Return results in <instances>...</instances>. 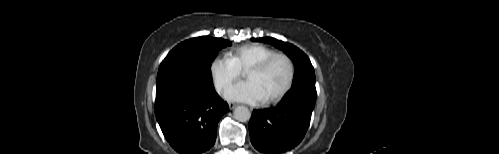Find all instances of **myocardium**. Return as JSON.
Listing matches in <instances>:
<instances>
[{
	"label": "myocardium",
	"instance_id": "myocardium-1",
	"mask_svg": "<svg viewBox=\"0 0 499 154\" xmlns=\"http://www.w3.org/2000/svg\"><path fill=\"white\" fill-rule=\"evenodd\" d=\"M276 59H283L288 67V76L286 83L284 87L278 92L276 95L268 98L265 100L266 103H275L280 101L285 97V95L289 92V90L292 87L293 81H294V76H295V68H294V63L291 59V57L285 53L282 52H275L268 57L264 58L263 60L259 61L258 63L252 65L247 72L249 71H264L269 67V65Z\"/></svg>",
	"mask_w": 499,
	"mask_h": 154
}]
</instances>
